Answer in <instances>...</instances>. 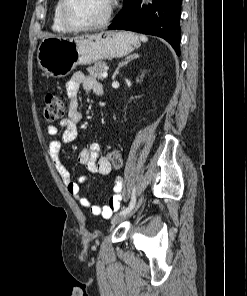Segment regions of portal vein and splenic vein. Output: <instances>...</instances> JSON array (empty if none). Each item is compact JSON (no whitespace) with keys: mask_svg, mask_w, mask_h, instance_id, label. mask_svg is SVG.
<instances>
[{"mask_svg":"<svg viewBox=\"0 0 247 296\" xmlns=\"http://www.w3.org/2000/svg\"><path fill=\"white\" fill-rule=\"evenodd\" d=\"M107 76H108V73H107L106 71H104V72L102 73V77H103V78H107Z\"/></svg>","mask_w":247,"mask_h":296,"instance_id":"1","label":"portal vein and splenic vein"}]
</instances>
